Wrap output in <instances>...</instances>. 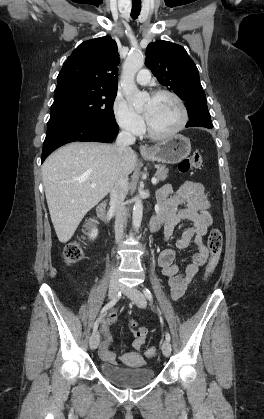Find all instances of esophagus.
I'll list each match as a JSON object with an SVG mask.
<instances>
[{
    "instance_id": "esophagus-1",
    "label": "esophagus",
    "mask_w": 264,
    "mask_h": 419,
    "mask_svg": "<svg viewBox=\"0 0 264 419\" xmlns=\"http://www.w3.org/2000/svg\"><path fill=\"white\" fill-rule=\"evenodd\" d=\"M139 151L142 155H144V154L150 153L151 149L147 145L140 144L139 145Z\"/></svg>"
}]
</instances>
